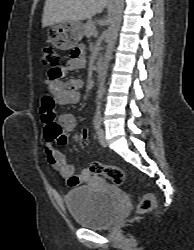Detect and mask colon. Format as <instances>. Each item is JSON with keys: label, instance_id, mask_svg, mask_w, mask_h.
Instances as JSON below:
<instances>
[{"label": "colon", "instance_id": "obj_1", "mask_svg": "<svg viewBox=\"0 0 194 250\" xmlns=\"http://www.w3.org/2000/svg\"><path fill=\"white\" fill-rule=\"evenodd\" d=\"M76 49L73 50L71 57L75 56ZM41 63L52 68V71L50 72L51 77L57 79L61 76L60 56L53 46H43L41 51ZM42 103L43 109L51 110L54 107V102L50 95H45L42 99ZM79 141L82 147L87 146L85 140ZM90 171L96 175L105 177L116 185H122L125 182L124 171L115 165H104L95 161L90 164ZM155 204L156 200L154 195L151 193H145L140 200L138 212L140 214L149 213L155 208Z\"/></svg>", "mask_w": 194, "mask_h": 250}]
</instances>
